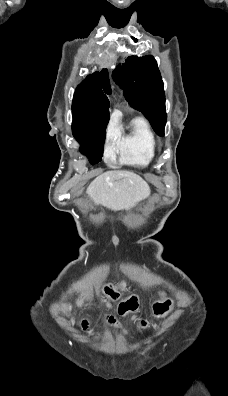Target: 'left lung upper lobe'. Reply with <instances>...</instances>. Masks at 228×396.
Returning a JSON list of instances; mask_svg holds the SVG:
<instances>
[{
    "mask_svg": "<svg viewBox=\"0 0 228 396\" xmlns=\"http://www.w3.org/2000/svg\"><path fill=\"white\" fill-rule=\"evenodd\" d=\"M112 77L123 89L128 103L147 117L158 135L164 136L165 93L154 57L130 56L124 64L118 65Z\"/></svg>",
    "mask_w": 228,
    "mask_h": 396,
    "instance_id": "obj_1",
    "label": "left lung upper lobe"
}]
</instances>
